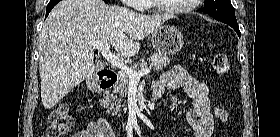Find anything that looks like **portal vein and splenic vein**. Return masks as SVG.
I'll use <instances>...</instances> for the list:
<instances>
[{"mask_svg":"<svg viewBox=\"0 0 280 137\" xmlns=\"http://www.w3.org/2000/svg\"><path fill=\"white\" fill-rule=\"evenodd\" d=\"M93 47L98 49L109 63L119 68L122 73H125L131 82H139L142 76L149 74L151 71L149 68H145L137 72L131 67H128L117 55L110 51L111 45L109 43H93Z\"/></svg>","mask_w":280,"mask_h":137,"instance_id":"portal-vein-and-splenic-vein-1","label":"portal vein and splenic vein"}]
</instances>
